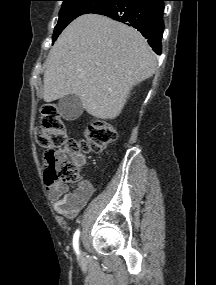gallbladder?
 <instances>
[{"label":"gallbladder","instance_id":"obj_1","mask_svg":"<svg viewBox=\"0 0 216 285\" xmlns=\"http://www.w3.org/2000/svg\"><path fill=\"white\" fill-rule=\"evenodd\" d=\"M58 110L63 119L72 121L81 116L83 105L77 95L70 94L59 100Z\"/></svg>","mask_w":216,"mask_h":285}]
</instances>
